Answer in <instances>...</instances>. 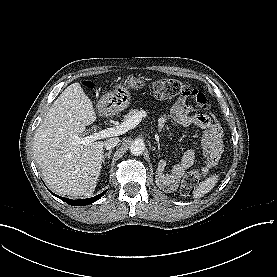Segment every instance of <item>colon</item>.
I'll list each match as a JSON object with an SVG mask.
<instances>
[{
  "instance_id": "1",
  "label": "colon",
  "mask_w": 277,
  "mask_h": 277,
  "mask_svg": "<svg viewBox=\"0 0 277 277\" xmlns=\"http://www.w3.org/2000/svg\"><path fill=\"white\" fill-rule=\"evenodd\" d=\"M153 93L158 99H169L176 96L190 97L196 107L202 110L208 109L206 96L190 84L171 78L157 80L152 85ZM215 163L214 157L207 159L205 166L212 167ZM199 174L189 172L183 179L180 191L184 196H191L196 188Z\"/></svg>"
}]
</instances>
